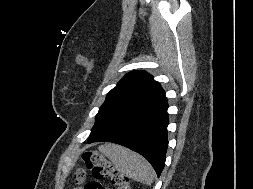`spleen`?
I'll return each mask as SVG.
<instances>
[{
    "instance_id": "spleen-1",
    "label": "spleen",
    "mask_w": 253,
    "mask_h": 189,
    "mask_svg": "<svg viewBox=\"0 0 253 189\" xmlns=\"http://www.w3.org/2000/svg\"><path fill=\"white\" fill-rule=\"evenodd\" d=\"M99 150L112 161L120 174L145 184L153 182L152 166L138 153L116 144L101 145Z\"/></svg>"
}]
</instances>
